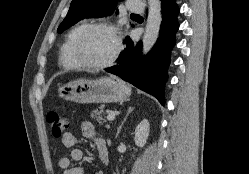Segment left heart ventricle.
<instances>
[{
	"label": "left heart ventricle",
	"instance_id": "1",
	"mask_svg": "<svg viewBox=\"0 0 249 174\" xmlns=\"http://www.w3.org/2000/svg\"><path fill=\"white\" fill-rule=\"evenodd\" d=\"M115 50L113 35L104 29L91 31L84 39L80 54L88 63L98 64L107 61Z\"/></svg>",
	"mask_w": 249,
	"mask_h": 174
}]
</instances>
